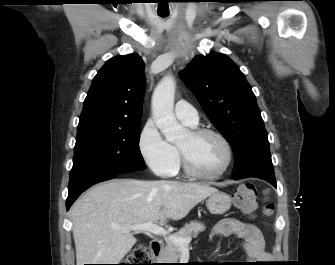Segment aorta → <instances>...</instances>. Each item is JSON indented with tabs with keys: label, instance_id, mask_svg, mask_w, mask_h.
<instances>
[{
	"label": "aorta",
	"instance_id": "aorta-1",
	"mask_svg": "<svg viewBox=\"0 0 335 265\" xmlns=\"http://www.w3.org/2000/svg\"><path fill=\"white\" fill-rule=\"evenodd\" d=\"M175 81L165 76L155 88L152 96V113L155 124L168 142H176L184 135L183 127L174 115Z\"/></svg>",
	"mask_w": 335,
	"mask_h": 265
}]
</instances>
